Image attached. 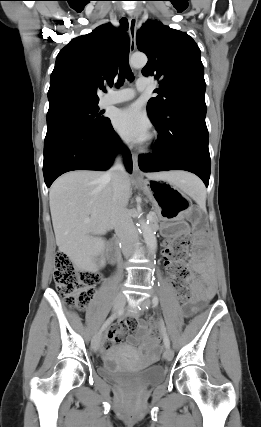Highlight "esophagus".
<instances>
[{
    "mask_svg": "<svg viewBox=\"0 0 261 427\" xmlns=\"http://www.w3.org/2000/svg\"><path fill=\"white\" fill-rule=\"evenodd\" d=\"M128 22H129L128 31H129V37H130L129 48H130V53H133L136 49L137 16L135 13L131 12L129 14ZM132 163H133V176L135 178H141L142 173L138 165V156L135 153L132 154Z\"/></svg>",
    "mask_w": 261,
    "mask_h": 427,
    "instance_id": "esophagus-1",
    "label": "esophagus"
}]
</instances>
